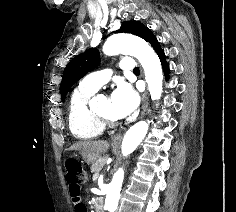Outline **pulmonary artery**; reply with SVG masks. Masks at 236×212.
I'll list each match as a JSON object with an SVG mask.
<instances>
[{
	"mask_svg": "<svg viewBox=\"0 0 236 212\" xmlns=\"http://www.w3.org/2000/svg\"><path fill=\"white\" fill-rule=\"evenodd\" d=\"M120 66L122 70L133 71L135 69V62L132 58L125 57L122 59ZM111 74L112 71L110 69L96 71L87 75L81 83L86 87L99 89L109 81Z\"/></svg>",
	"mask_w": 236,
	"mask_h": 212,
	"instance_id": "e3ab8cb5",
	"label": "pulmonary artery"
}]
</instances>
